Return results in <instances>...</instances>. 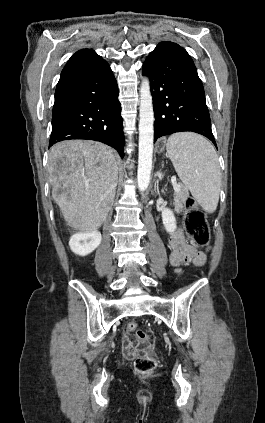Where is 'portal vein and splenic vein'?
Instances as JSON below:
<instances>
[{"label":"portal vein and splenic vein","mask_w":265,"mask_h":423,"mask_svg":"<svg viewBox=\"0 0 265 423\" xmlns=\"http://www.w3.org/2000/svg\"><path fill=\"white\" fill-rule=\"evenodd\" d=\"M175 190H176V191H179V187H176V188H175Z\"/></svg>","instance_id":"portal-vein-and-splenic-vein-1"}]
</instances>
